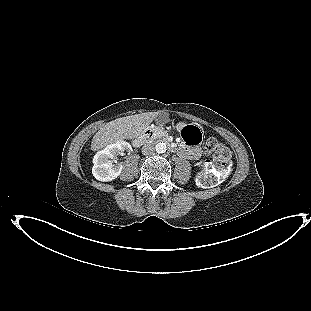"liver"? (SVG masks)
Listing matches in <instances>:
<instances>
[{
    "label": "liver",
    "instance_id": "obj_1",
    "mask_svg": "<svg viewBox=\"0 0 311 311\" xmlns=\"http://www.w3.org/2000/svg\"><path fill=\"white\" fill-rule=\"evenodd\" d=\"M158 116L156 112L122 117L108 122L93 137L91 149L97 151L108 144L122 139H132L140 136L149 124Z\"/></svg>",
    "mask_w": 311,
    "mask_h": 311
}]
</instances>
